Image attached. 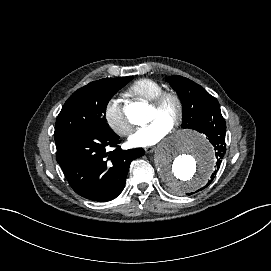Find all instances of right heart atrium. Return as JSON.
I'll return each instance as SVG.
<instances>
[{
    "label": "right heart atrium",
    "instance_id": "1",
    "mask_svg": "<svg viewBox=\"0 0 271 271\" xmlns=\"http://www.w3.org/2000/svg\"><path fill=\"white\" fill-rule=\"evenodd\" d=\"M103 118L106 124L120 136H126L131 129L120 94H113L107 98L103 106Z\"/></svg>",
    "mask_w": 271,
    "mask_h": 271
}]
</instances>
